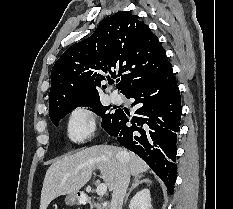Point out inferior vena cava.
Instances as JSON below:
<instances>
[{"label": "inferior vena cava", "instance_id": "obj_1", "mask_svg": "<svg viewBox=\"0 0 233 209\" xmlns=\"http://www.w3.org/2000/svg\"><path fill=\"white\" fill-rule=\"evenodd\" d=\"M117 157L120 160V164L115 179L110 209H122L123 201L130 182V172L127 164L121 159L119 154Z\"/></svg>", "mask_w": 233, "mask_h": 209}]
</instances>
